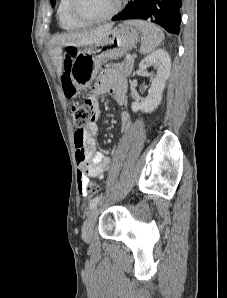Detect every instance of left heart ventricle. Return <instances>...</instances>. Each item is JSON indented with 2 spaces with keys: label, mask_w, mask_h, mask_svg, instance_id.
Here are the masks:
<instances>
[{
  "label": "left heart ventricle",
  "mask_w": 227,
  "mask_h": 298,
  "mask_svg": "<svg viewBox=\"0 0 227 298\" xmlns=\"http://www.w3.org/2000/svg\"><path fill=\"white\" fill-rule=\"evenodd\" d=\"M81 14L88 18H100L108 14L115 6L116 0H79Z\"/></svg>",
  "instance_id": "1"
}]
</instances>
